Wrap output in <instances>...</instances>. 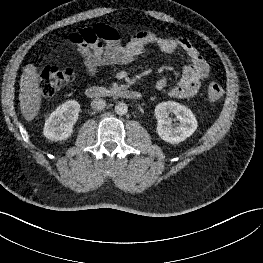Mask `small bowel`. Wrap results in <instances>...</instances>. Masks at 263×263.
Instances as JSON below:
<instances>
[{
	"label": "small bowel",
	"mask_w": 263,
	"mask_h": 263,
	"mask_svg": "<svg viewBox=\"0 0 263 263\" xmlns=\"http://www.w3.org/2000/svg\"><path fill=\"white\" fill-rule=\"evenodd\" d=\"M69 40L75 45L81 56L83 68L89 75H94L105 66L128 64L141 56L150 46H156L166 53L182 50L190 64L183 69L176 85L168 89L167 94L173 98L184 99L195 96L200 89L201 81L210 71L208 62L199 50L183 36L165 38L149 31H142L133 35L126 43H122L115 28L98 23L72 33ZM170 82V77H162L156 82L155 88L164 91Z\"/></svg>",
	"instance_id": "small-bowel-1"
}]
</instances>
